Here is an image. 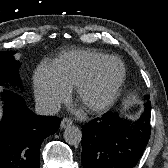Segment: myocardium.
Instances as JSON below:
<instances>
[{
	"mask_svg": "<svg viewBox=\"0 0 168 168\" xmlns=\"http://www.w3.org/2000/svg\"><path fill=\"white\" fill-rule=\"evenodd\" d=\"M109 62H115L118 66L119 74L117 79L114 81V83L101 101L94 104H85L83 102L84 93L96 81L102 68ZM125 78L126 69L123 62L118 57L106 56L98 61L76 85V99L86 108L89 113H101L103 111H106L113 105V103L117 99L120 90L124 84Z\"/></svg>",
	"mask_w": 168,
	"mask_h": 168,
	"instance_id": "obj_1",
	"label": "myocardium"
}]
</instances>
